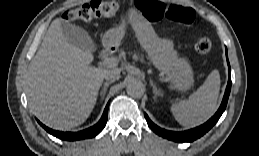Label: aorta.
Listing matches in <instances>:
<instances>
[{
  "mask_svg": "<svg viewBox=\"0 0 259 156\" xmlns=\"http://www.w3.org/2000/svg\"><path fill=\"white\" fill-rule=\"evenodd\" d=\"M127 94L134 98H140L144 94V86L141 82L133 80L127 86Z\"/></svg>",
  "mask_w": 259,
  "mask_h": 156,
  "instance_id": "762f6f07",
  "label": "aorta"
}]
</instances>
